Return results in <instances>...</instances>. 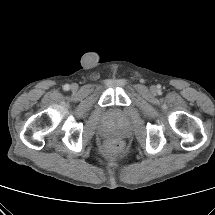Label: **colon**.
I'll use <instances>...</instances> for the list:
<instances>
[{"mask_svg":"<svg viewBox=\"0 0 215 215\" xmlns=\"http://www.w3.org/2000/svg\"><path fill=\"white\" fill-rule=\"evenodd\" d=\"M121 149V143L118 140H111L106 144V150L108 152H117Z\"/></svg>","mask_w":215,"mask_h":215,"instance_id":"colon-1","label":"colon"}]
</instances>
